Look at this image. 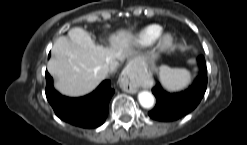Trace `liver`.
Instances as JSON below:
<instances>
[{
	"mask_svg": "<svg viewBox=\"0 0 247 145\" xmlns=\"http://www.w3.org/2000/svg\"><path fill=\"white\" fill-rule=\"evenodd\" d=\"M133 35L119 30L110 36V46L96 45L82 28H73L68 37L60 36L52 48L53 57L47 64L48 72L56 78L55 88L63 95L78 97L92 92L106 74L108 65L113 72L119 60L134 55Z\"/></svg>",
	"mask_w": 247,
	"mask_h": 145,
	"instance_id": "6515ba94",
	"label": "liver"
}]
</instances>
